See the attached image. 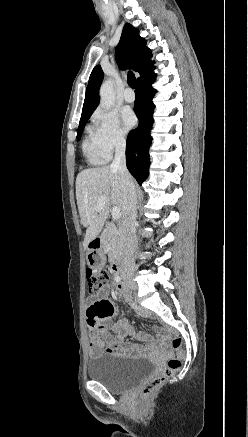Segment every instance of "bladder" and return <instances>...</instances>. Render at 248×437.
I'll list each match as a JSON object with an SVG mask.
<instances>
[{
  "mask_svg": "<svg viewBox=\"0 0 248 437\" xmlns=\"http://www.w3.org/2000/svg\"><path fill=\"white\" fill-rule=\"evenodd\" d=\"M156 365L145 357H122L104 354L88 366L90 379L103 384L111 392H123L152 377Z\"/></svg>",
  "mask_w": 248,
  "mask_h": 437,
  "instance_id": "obj_1",
  "label": "bladder"
}]
</instances>
